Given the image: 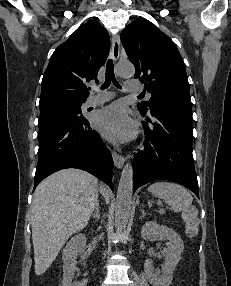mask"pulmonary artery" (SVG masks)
<instances>
[{"label": "pulmonary artery", "instance_id": "e3ab8cb5", "mask_svg": "<svg viewBox=\"0 0 231 286\" xmlns=\"http://www.w3.org/2000/svg\"><path fill=\"white\" fill-rule=\"evenodd\" d=\"M126 90L130 93L136 94L141 93L143 91V87L138 80H128L126 82ZM113 98V93L111 92H99L94 91L92 95H90L86 102V107L96 106L102 103H105Z\"/></svg>", "mask_w": 231, "mask_h": 286}]
</instances>
